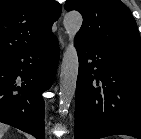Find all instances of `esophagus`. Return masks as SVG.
<instances>
[{"instance_id":"obj_1","label":"esophagus","mask_w":141,"mask_h":139,"mask_svg":"<svg viewBox=\"0 0 141 139\" xmlns=\"http://www.w3.org/2000/svg\"><path fill=\"white\" fill-rule=\"evenodd\" d=\"M61 44H62V47L65 46V43H64L63 39H61Z\"/></svg>"}]
</instances>
